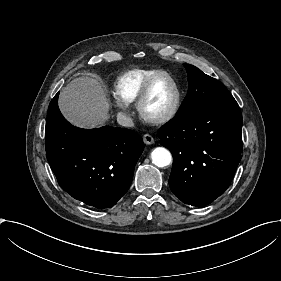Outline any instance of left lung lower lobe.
Wrapping results in <instances>:
<instances>
[{"mask_svg":"<svg viewBox=\"0 0 281 281\" xmlns=\"http://www.w3.org/2000/svg\"><path fill=\"white\" fill-rule=\"evenodd\" d=\"M173 155L169 184L185 204L203 207L229 187L242 153L237 102L176 115L158 131Z\"/></svg>","mask_w":281,"mask_h":281,"instance_id":"obj_1","label":"left lung lower lobe"}]
</instances>
